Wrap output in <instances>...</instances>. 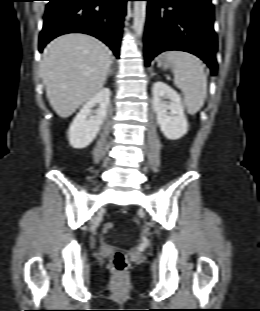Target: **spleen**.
<instances>
[{
	"label": "spleen",
	"mask_w": 260,
	"mask_h": 311,
	"mask_svg": "<svg viewBox=\"0 0 260 311\" xmlns=\"http://www.w3.org/2000/svg\"><path fill=\"white\" fill-rule=\"evenodd\" d=\"M166 59L173 64L174 83L184 95V106L189 114H196L207 94V77L202 63L193 54L183 51H170Z\"/></svg>",
	"instance_id": "spleen-1"
}]
</instances>
